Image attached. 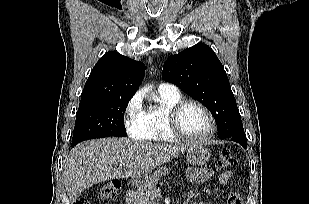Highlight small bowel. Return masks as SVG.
<instances>
[{
  "label": "small bowel",
  "instance_id": "c3829d8e",
  "mask_svg": "<svg viewBox=\"0 0 309 204\" xmlns=\"http://www.w3.org/2000/svg\"><path fill=\"white\" fill-rule=\"evenodd\" d=\"M234 174L235 171L233 169L226 170L219 175L218 180L222 185H225L233 178ZM214 175L215 172L213 170L206 168L194 169L188 172V178L195 183L206 182ZM235 198L238 199L239 202L241 201L240 195L233 194L229 197L227 204H236L234 202Z\"/></svg>",
  "mask_w": 309,
  "mask_h": 204
}]
</instances>
